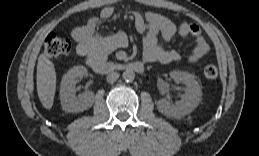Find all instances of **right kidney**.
I'll use <instances>...</instances> for the list:
<instances>
[{
  "mask_svg": "<svg viewBox=\"0 0 259 156\" xmlns=\"http://www.w3.org/2000/svg\"><path fill=\"white\" fill-rule=\"evenodd\" d=\"M87 74V69L84 66H74L69 69L63 76L60 85V101L62 109L67 113L83 112L89 109L94 102V93L85 92L79 97L76 93V83L79 78Z\"/></svg>",
  "mask_w": 259,
  "mask_h": 156,
  "instance_id": "1",
  "label": "right kidney"
}]
</instances>
